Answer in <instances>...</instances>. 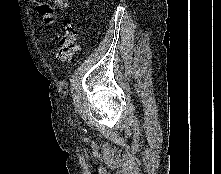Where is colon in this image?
<instances>
[{
	"mask_svg": "<svg viewBox=\"0 0 221 174\" xmlns=\"http://www.w3.org/2000/svg\"><path fill=\"white\" fill-rule=\"evenodd\" d=\"M78 37V28L72 23L65 24V30L59 37V46L56 51V56L61 61L70 60L78 51L76 43Z\"/></svg>",
	"mask_w": 221,
	"mask_h": 174,
	"instance_id": "colon-1",
	"label": "colon"
}]
</instances>
